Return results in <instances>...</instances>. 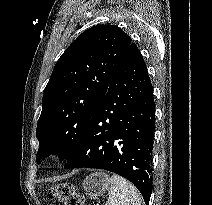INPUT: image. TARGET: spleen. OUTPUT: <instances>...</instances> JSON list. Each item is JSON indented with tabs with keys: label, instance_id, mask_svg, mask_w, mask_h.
Listing matches in <instances>:
<instances>
[{
	"label": "spleen",
	"instance_id": "spleen-1",
	"mask_svg": "<svg viewBox=\"0 0 212 205\" xmlns=\"http://www.w3.org/2000/svg\"><path fill=\"white\" fill-rule=\"evenodd\" d=\"M109 185V197L105 205H141L138 190L122 176L112 175Z\"/></svg>",
	"mask_w": 212,
	"mask_h": 205
}]
</instances>
